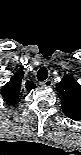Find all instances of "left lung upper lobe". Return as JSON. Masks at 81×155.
Segmentation results:
<instances>
[{
  "label": "left lung upper lobe",
  "mask_w": 81,
  "mask_h": 155,
  "mask_svg": "<svg viewBox=\"0 0 81 155\" xmlns=\"http://www.w3.org/2000/svg\"><path fill=\"white\" fill-rule=\"evenodd\" d=\"M61 99L63 113L73 119L81 120V85L70 75L56 84Z\"/></svg>",
  "instance_id": "1"
}]
</instances>
